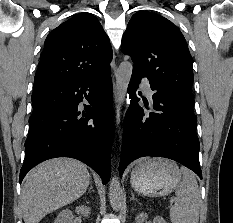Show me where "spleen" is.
Instances as JSON below:
<instances>
[{
    "label": "spleen",
    "mask_w": 233,
    "mask_h": 223,
    "mask_svg": "<svg viewBox=\"0 0 233 223\" xmlns=\"http://www.w3.org/2000/svg\"><path fill=\"white\" fill-rule=\"evenodd\" d=\"M183 181L177 187L174 205L170 207L172 223H198L201 203V193L194 173L184 169Z\"/></svg>",
    "instance_id": "obj_1"
}]
</instances>
